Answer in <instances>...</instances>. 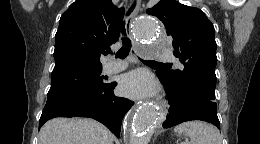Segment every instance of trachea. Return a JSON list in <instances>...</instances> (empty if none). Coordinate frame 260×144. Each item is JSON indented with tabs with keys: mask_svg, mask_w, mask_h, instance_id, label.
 Instances as JSON below:
<instances>
[{
	"mask_svg": "<svg viewBox=\"0 0 260 144\" xmlns=\"http://www.w3.org/2000/svg\"><path fill=\"white\" fill-rule=\"evenodd\" d=\"M134 8H135V3L131 6L129 11L127 12V15H129L133 11ZM121 32H122V34L126 35L125 22H123L121 25ZM122 44H123L122 47L117 52V57L120 59H124L129 55L130 48H131V41L128 38L124 37ZM108 53H112V52L110 50H108L106 52V54H108ZM141 61L144 63H149V64L167 65V63H161V62H156V61H152V60L147 61V60L141 59Z\"/></svg>",
	"mask_w": 260,
	"mask_h": 144,
	"instance_id": "obj_1",
	"label": "trachea"
}]
</instances>
